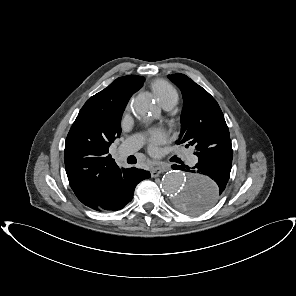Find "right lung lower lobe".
Masks as SVG:
<instances>
[{
  "mask_svg": "<svg viewBox=\"0 0 296 296\" xmlns=\"http://www.w3.org/2000/svg\"><path fill=\"white\" fill-rule=\"evenodd\" d=\"M150 176L148 171L135 167L124 169L90 208L97 211H117L122 209L132 200L136 185Z\"/></svg>",
  "mask_w": 296,
  "mask_h": 296,
  "instance_id": "obj_1",
  "label": "right lung lower lobe"
}]
</instances>
